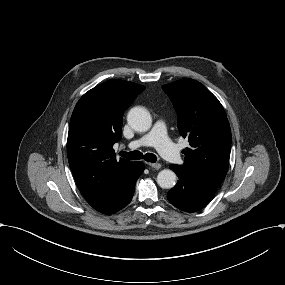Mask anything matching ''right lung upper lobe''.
Masks as SVG:
<instances>
[{
	"label": "right lung upper lobe",
	"mask_w": 285,
	"mask_h": 285,
	"mask_svg": "<svg viewBox=\"0 0 285 285\" xmlns=\"http://www.w3.org/2000/svg\"><path fill=\"white\" fill-rule=\"evenodd\" d=\"M144 86L113 79L86 92L70 119L67 154L76 184L96 210L108 204L136 162L116 160L125 108Z\"/></svg>",
	"instance_id": "obj_1"
}]
</instances>
